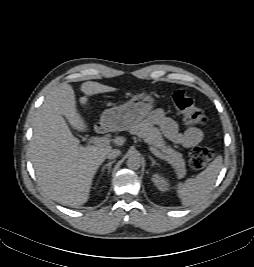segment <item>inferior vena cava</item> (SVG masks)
<instances>
[{"instance_id": "obj_1", "label": "inferior vena cava", "mask_w": 254, "mask_h": 267, "mask_svg": "<svg viewBox=\"0 0 254 267\" xmlns=\"http://www.w3.org/2000/svg\"><path fill=\"white\" fill-rule=\"evenodd\" d=\"M121 154L119 149H111L107 154H106V158L108 159H114L116 157H118Z\"/></svg>"}]
</instances>
